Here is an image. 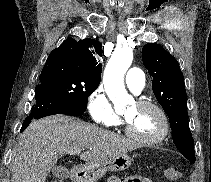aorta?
I'll list each match as a JSON object with an SVG mask.
<instances>
[{
  "mask_svg": "<svg viewBox=\"0 0 211 182\" xmlns=\"http://www.w3.org/2000/svg\"><path fill=\"white\" fill-rule=\"evenodd\" d=\"M132 60L133 53L131 50L115 51L104 71L103 83L105 92L116 109L123 106L129 100V95L124 86V75L130 67Z\"/></svg>",
  "mask_w": 211,
  "mask_h": 182,
  "instance_id": "1",
  "label": "aorta"
}]
</instances>
